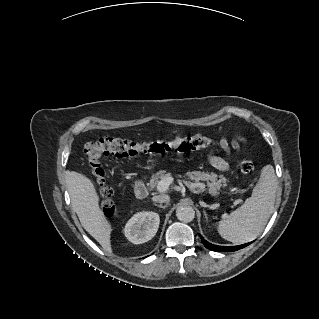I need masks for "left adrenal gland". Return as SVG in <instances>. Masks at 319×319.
Wrapping results in <instances>:
<instances>
[{
	"label": "left adrenal gland",
	"instance_id": "a2214340",
	"mask_svg": "<svg viewBox=\"0 0 319 319\" xmlns=\"http://www.w3.org/2000/svg\"><path fill=\"white\" fill-rule=\"evenodd\" d=\"M204 215H205V218H206V219H208V218H207V214H206V212H205V211H204Z\"/></svg>",
	"mask_w": 319,
	"mask_h": 319
}]
</instances>
